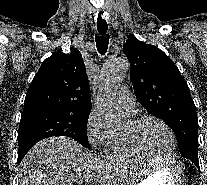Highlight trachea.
Returning <instances> with one entry per match:
<instances>
[{
  "label": "trachea",
  "mask_w": 207,
  "mask_h": 185,
  "mask_svg": "<svg viewBox=\"0 0 207 185\" xmlns=\"http://www.w3.org/2000/svg\"><path fill=\"white\" fill-rule=\"evenodd\" d=\"M97 29L101 36L98 35L95 36L96 46L99 53H101V55H104L107 51L108 44H109V35H106V32L108 30V25L103 24L102 22H98Z\"/></svg>",
  "instance_id": "trachea-1"
}]
</instances>
